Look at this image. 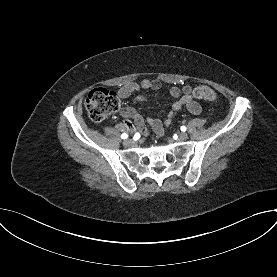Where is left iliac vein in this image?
I'll return each instance as SVG.
<instances>
[{"instance_id":"obj_1","label":"left iliac vein","mask_w":277,"mask_h":277,"mask_svg":"<svg viewBox=\"0 0 277 277\" xmlns=\"http://www.w3.org/2000/svg\"><path fill=\"white\" fill-rule=\"evenodd\" d=\"M178 137H179V140L184 141L188 138V135L185 132H181Z\"/></svg>"}]
</instances>
